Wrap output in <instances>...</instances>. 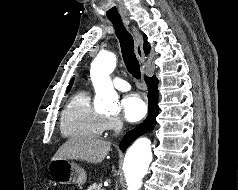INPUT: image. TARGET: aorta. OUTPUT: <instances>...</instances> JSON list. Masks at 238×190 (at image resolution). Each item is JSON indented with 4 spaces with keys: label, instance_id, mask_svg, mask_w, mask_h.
Listing matches in <instances>:
<instances>
[{
    "label": "aorta",
    "instance_id": "762f6f07",
    "mask_svg": "<svg viewBox=\"0 0 238 190\" xmlns=\"http://www.w3.org/2000/svg\"><path fill=\"white\" fill-rule=\"evenodd\" d=\"M116 66V57L108 51L100 52L91 64V80L96 92L98 108L119 111L118 95L114 90L110 74ZM152 161L151 142L139 138L127 150L123 165L128 190H139L142 178L147 174Z\"/></svg>",
    "mask_w": 238,
    "mask_h": 190
}]
</instances>
